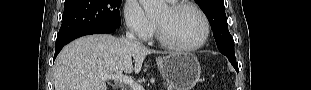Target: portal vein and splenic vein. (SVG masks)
Returning a JSON list of instances; mask_svg holds the SVG:
<instances>
[{"label":"portal vein and splenic vein","instance_id":"1","mask_svg":"<svg viewBox=\"0 0 311 90\" xmlns=\"http://www.w3.org/2000/svg\"><path fill=\"white\" fill-rule=\"evenodd\" d=\"M101 77L104 80H115L127 84L130 90H144L143 86L136 83L132 78L123 75L121 71H117L115 74H102Z\"/></svg>","mask_w":311,"mask_h":90}]
</instances>
